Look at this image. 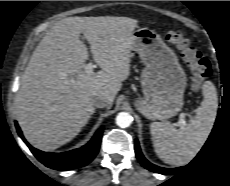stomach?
Here are the masks:
<instances>
[{
	"mask_svg": "<svg viewBox=\"0 0 230 186\" xmlns=\"http://www.w3.org/2000/svg\"><path fill=\"white\" fill-rule=\"evenodd\" d=\"M131 50L146 65L141 73L143 97L135 100L137 110L151 120H166L181 111L186 74L174 51L149 28L133 32Z\"/></svg>",
	"mask_w": 230,
	"mask_h": 186,
	"instance_id": "obj_1",
	"label": "stomach"
}]
</instances>
